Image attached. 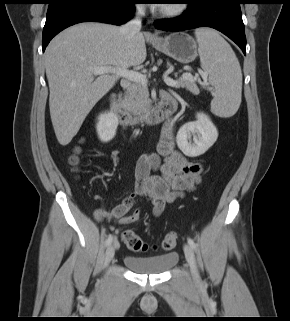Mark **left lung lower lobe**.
Here are the masks:
<instances>
[{
    "label": "left lung lower lobe",
    "mask_w": 290,
    "mask_h": 321,
    "mask_svg": "<svg viewBox=\"0 0 290 321\" xmlns=\"http://www.w3.org/2000/svg\"><path fill=\"white\" fill-rule=\"evenodd\" d=\"M188 9L179 17L154 23L159 30L183 31L211 27L233 40L246 55V37L240 4L242 0H186Z\"/></svg>",
    "instance_id": "1"
}]
</instances>
